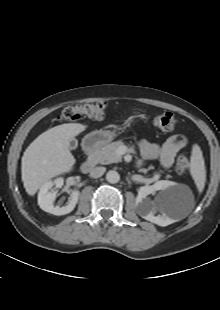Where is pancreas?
I'll use <instances>...</instances> for the list:
<instances>
[{"instance_id": "obj_1", "label": "pancreas", "mask_w": 220, "mask_h": 310, "mask_svg": "<svg viewBox=\"0 0 220 310\" xmlns=\"http://www.w3.org/2000/svg\"><path fill=\"white\" fill-rule=\"evenodd\" d=\"M124 143L119 140L105 145L99 151L94 154L96 161L101 164H111L120 162L122 157L117 153L120 147H124Z\"/></svg>"}]
</instances>
